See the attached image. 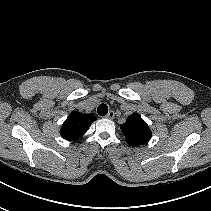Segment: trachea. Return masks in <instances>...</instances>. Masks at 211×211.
<instances>
[{
    "instance_id": "obj_1",
    "label": "trachea",
    "mask_w": 211,
    "mask_h": 211,
    "mask_svg": "<svg viewBox=\"0 0 211 211\" xmlns=\"http://www.w3.org/2000/svg\"><path fill=\"white\" fill-rule=\"evenodd\" d=\"M97 112L100 116H105L108 113V106L106 104H100L97 108Z\"/></svg>"
}]
</instances>
